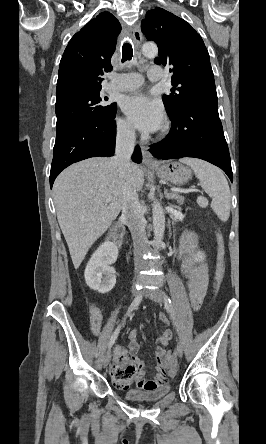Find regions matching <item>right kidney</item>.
Listing matches in <instances>:
<instances>
[{"label":"right kidney","mask_w":266,"mask_h":444,"mask_svg":"<svg viewBox=\"0 0 266 444\" xmlns=\"http://www.w3.org/2000/svg\"><path fill=\"white\" fill-rule=\"evenodd\" d=\"M118 257L117 246L105 241L94 252L85 269L86 284L101 294L108 293L116 284L115 269L111 267Z\"/></svg>","instance_id":"right-kidney-1"}]
</instances>
